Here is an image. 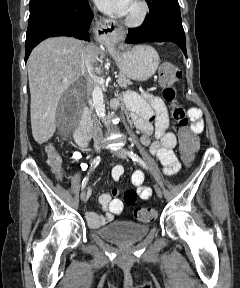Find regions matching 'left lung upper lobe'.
Returning a JSON list of instances; mask_svg holds the SVG:
<instances>
[{"label": "left lung upper lobe", "instance_id": "left-lung-upper-lobe-1", "mask_svg": "<svg viewBox=\"0 0 240 288\" xmlns=\"http://www.w3.org/2000/svg\"><path fill=\"white\" fill-rule=\"evenodd\" d=\"M147 1V3H148V6H152V2L154 1V0H146Z\"/></svg>", "mask_w": 240, "mask_h": 288}]
</instances>
